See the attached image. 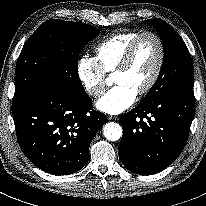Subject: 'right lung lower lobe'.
Here are the masks:
<instances>
[{
  "label": "right lung lower lobe",
  "instance_id": "obj_1",
  "mask_svg": "<svg viewBox=\"0 0 206 206\" xmlns=\"http://www.w3.org/2000/svg\"><path fill=\"white\" fill-rule=\"evenodd\" d=\"M17 140L25 156L54 175L79 171L88 161L89 145L107 122L92 109L90 97L44 87L12 105Z\"/></svg>",
  "mask_w": 206,
  "mask_h": 206
}]
</instances>
